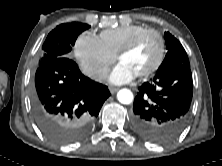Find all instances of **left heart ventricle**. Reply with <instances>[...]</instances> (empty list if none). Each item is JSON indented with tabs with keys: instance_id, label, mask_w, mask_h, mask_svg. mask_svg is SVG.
<instances>
[{
	"instance_id": "1",
	"label": "left heart ventricle",
	"mask_w": 222,
	"mask_h": 166,
	"mask_svg": "<svg viewBox=\"0 0 222 166\" xmlns=\"http://www.w3.org/2000/svg\"><path fill=\"white\" fill-rule=\"evenodd\" d=\"M159 42L153 35L146 37L136 49L121 58L136 75L149 69L156 61Z\"/></svg>"
}]
</instances>
